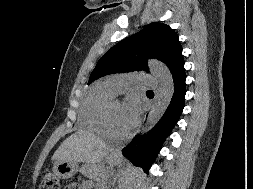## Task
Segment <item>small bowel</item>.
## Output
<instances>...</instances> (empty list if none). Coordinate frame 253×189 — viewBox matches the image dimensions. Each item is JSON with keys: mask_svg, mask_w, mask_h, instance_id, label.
Returning <instances> with one entry per match:
<instances>
[{"mask_svg": "<svg viewBox=\"0 0 253 189\" xmlns=\"http://www.w3.org/2000/svg\"><path fill=\"white\" fill-rule=\"evenodd\" d=\"M89 183H82V184H72L67 189H89Z\"/></svg>", "mask_w": 253, "mask_h": 189, "instance_id": "small-bowel-1", "label": "small bowel"}]
</instances>
